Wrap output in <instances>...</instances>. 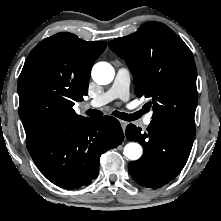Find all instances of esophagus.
Masks as SVG:
<instances>
[{"instance_id": "34e87169", "label": "esophagus", "mask_w": 221, "mask_h": 221, "mask_svg": "<svg viewBox=\"0 0 221 221\" xmlns=\"http://www.w3.org/2000/svg\"><path fill=\"white\" fill-rule=\"evenodd\" d=\"M120 123H121V126H122L123 130H125V128L127 126V122L123 121V120H120Z\"/></svg>"}]
</instances>
